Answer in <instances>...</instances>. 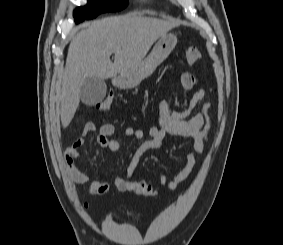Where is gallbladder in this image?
<instances>
[{
    "mask_svg": "<svg viewBox=\"0 0 283 245\" xmlns=\"http://www.w3.org/2000/svg\"><path fill=\"white\" fill-rule=\"evenodd\" d=\"M107 86L99 77L86 78L80 89V98L85 105L91 106L103 101Z\"/></svg>",
    "mask_w": 283,
    "mask_h": 245,
    "instance_id": "obj_1",
    "label": "gallbladder"
}]
</instances>
